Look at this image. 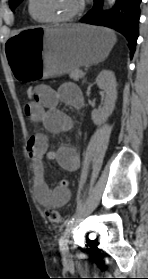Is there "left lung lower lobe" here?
Returning a JSON list of instances; mask_svg holds the SVG:
<instances>
[{
	"label": "left lung lower lobe",
	"instance_id": "obj_1",
	"mask_svg": "<svg viewBox=\"0 0 148 279\" xmlns=\"http://www.w3.org/2000/svg\"><path fill=\"white\" fill-rule=\"evenodd\" d=\"M116 2L115 7L109 12L102 10L103 0H94L92 10L80 22L103 25L119 31L129 41L131 56H133L139 35L141 0H117Z\"/></svg>",
	"mask_w": 148,
	"mask_h": 279
}]
</instances>
